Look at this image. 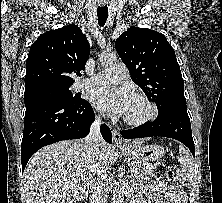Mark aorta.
<instances>
[{"label":"aorta","mask_w":222,"mask_h":203,"mask_svg":"<svg viewBox=\"0 0 222 203\" xmlns=\"http://www.w3.org/2000/svg\"><path fill=\"white\" fill-rule=\"evenodd\" d=\"M117 59L115 53H102L99 57L101 65H111ZM123 187L120 182H116L113 187V203H122L123 202Z\"/></svg>","instance_id":"aorta-1"}]
</instances>
